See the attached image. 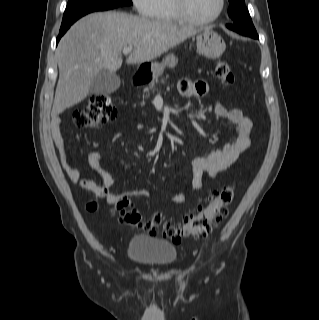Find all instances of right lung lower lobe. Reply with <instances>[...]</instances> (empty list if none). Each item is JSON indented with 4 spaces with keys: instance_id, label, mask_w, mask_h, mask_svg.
<instances>
[{
    "instance_id": "98d812e1",
    "label": "right lung lower lobe",
    "mask_w": 319,
    "mask_h": 320,
    "mask_svg": "<svg viewBox=\"0 0 319 320\" xmlns=\"http://www.w3.org/2000/svg\"><path fill=\"white\" fill-rule=\"evenodd\" d=\"M70 27V26H69ZM60 28V32H59V36L57 37V40H56V44L58 43V41L60 40V38L64 35V33L68 30V28Z\"/></svg>"
}]
</instances>
